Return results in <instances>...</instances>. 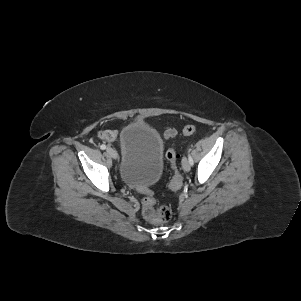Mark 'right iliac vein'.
I'll return each instance as SVG.
<instances>
[{
  "instance_id": "63e3f726",
  "label": "right iliac vein",
  "mask_w": 301,
  "mask_h": 301,
  "mask_svg": "<svg viewBox=\"0 0 301 301\" xmlns=\"http://www.w3.org/2000/svg\"><path fill=\"white\" fill-rule=\"evenodd\" d=\"M107 154L112 157L113 159H118V153L115 149L108 147L106 149Z\"/></svg>"
}]
</instances>
